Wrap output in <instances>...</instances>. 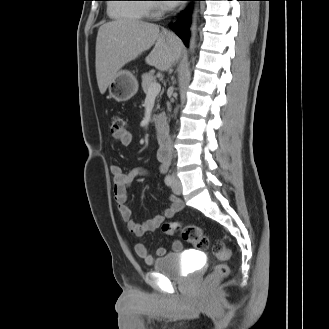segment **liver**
Here are the masks:
<instances>
[{"label": "liver", "mask_w": 329, "mask_h": 329, "mask_svg": "<svg viewBox=\"0 0 329 329\" xmlns=\"http://www.w3.org/2000/svg\"><path fill=\"white\" fill-rule=\"evenodd\" d=\"M153 49L146 63L160 71H168L180 58L182 42L175 35L160 31L159 26L132 19L103 24L96 39V77L101 94L115 79L119 70Z\"/></svg>", "instance_id": "liver-1"}]
</instances>
